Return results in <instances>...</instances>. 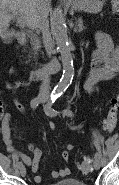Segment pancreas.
Instances as JSON below:
<instances>
[{
	"label": "pancreas",
	"mask_w": 119,
	"mask_h": 185,
	"mask_svg": "<svg viewBox=\"0 0 119 185\" xmlns=\"http://www.w3.org/2000/svg\"><path fill=\"white\" fill-rule=\"evenodd\" d=\"M84 28L85 27H84L81 19H79L78 24L75 28V32H81V31H83ZM30 43H31V46L34 50V58H35L36 54H37V51L40 49V42H39L37 36H35V35L31 36L30 37Z\"/></svg>",
	"instance_id": "cf45deb5"
}]
</instances>
